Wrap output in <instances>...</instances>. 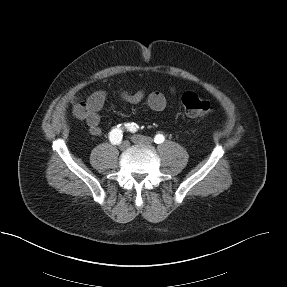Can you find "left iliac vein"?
<instances>
[{"instance_id":"1","label":"left iliac vein","mask_w":287,"mask_h":287,"mask_svg":"<svg viewBox=\"0 0 287 287\" xmlns=\"http://www.w3.org/2000/svg\"><path fill=\"white\" fill-rule=\"evenodd\" d=\"M131 140L133 143L140 145H150L153 142L152 138L143 135H133Z\"/></svg>"}]
</instances>
